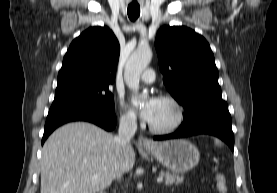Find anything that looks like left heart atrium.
<instances>
[{
	"instance_id": "obj_1",
	"label": "left heart atrium",
	"mask_w": 277,
	"mask_h": 193,
	"mask_svg": "<svg viewBox=\"0 0 277 193\" xmlns=\"http://www.w3.org/2000/svg\"><path fill=\"white\" fill-rule=\"evenodd\" d=\"M159 99L152 97L150 98L145 105L140 110V116L147 122L150 123V121L153 119L155 110L157 108Z\"/></svg>"
}]
</instances>
